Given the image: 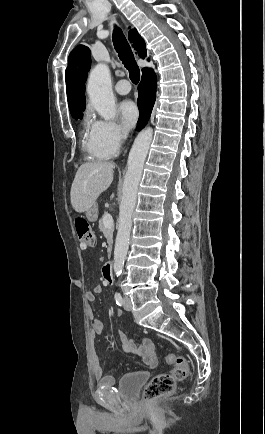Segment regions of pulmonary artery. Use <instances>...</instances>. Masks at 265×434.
Here are the masks:
<instances>
[{
	"mask_svg": "<svg viewBox=\"0 0 265 434\" xmlns=\"http://www.w3.org/2000/svg\"><path fill=\"white\" fill-rule=\"evenodd\" d=\"M93 68H95V66ZM130 87H131L130 81H125V79H122L121 81H117L115 90L121 95H126L129 93Z\"/></svg>",
	"mask_w": 265,
	"mask_h": 434,
	"instance_id": "1",
	"label": "pulmonary artery"
}]
</instances>
